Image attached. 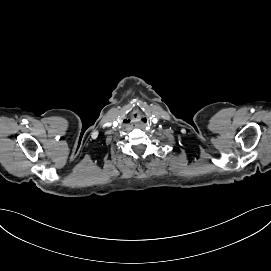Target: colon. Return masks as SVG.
<instances>
[{"instance_id":"1","label":"colon","mask_w":271,"mask_h":271,"mask_svg":"<svg viewBox=\"0 0 271 271\" xmlns=\"http://www.w3.org/2000/svg\"><path fill=\"white\" fill-rule=\"evenodd\" d=\"M76 153H77V151H75V153H74L73 157L76 155Z\"/></svg>"}]
</instances>
